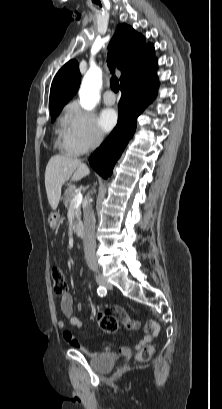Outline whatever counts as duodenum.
<instances>
[{
  "mask_svg": "<svg viewBox=\"0 0 222 409\" xmlns=\"http://www.w3.org/2000/svg\"><path fill=\"white\" fill-rule=\"evenodd\" d=\"M74 231H75V233H76L79 237L84 238V236H85V231H84V226H83L82 223H80V222H75V224H74Z\"/></svg>",
  "mask_w": 222,
  "mask_h": 409,
  "instance_id": "1",
  "label": "duodenum"
}]
</instances>
